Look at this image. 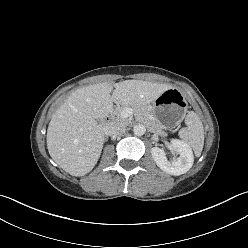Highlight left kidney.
<instances>
[{
	"label": "left kidney",
	"mask_w": 248,
	"mask_h": 248,
	"mask_svg": "<svg viewBox=\"0 0 248 248\" xmlns=\"http://www.w3.org/2000/svg\"><path fill=\"white\" fill-rule=\"evenodd\" d=\"M174 157L168 160L165 151L158 147L151 149L152 158L164 172L179 176L186 173L193 165L194 157L191 148L183 141L171 140Z\"/></svg>",
	"instance_id": "1"
}]
</instances>
